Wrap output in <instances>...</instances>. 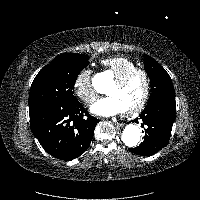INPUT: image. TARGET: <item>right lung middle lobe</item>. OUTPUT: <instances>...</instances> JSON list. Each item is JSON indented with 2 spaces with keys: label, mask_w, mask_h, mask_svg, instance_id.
Instances as JSON below:
<instances>
[{
  "label": "right lung middle lobe",
  "mask_w": 200,
  "mask_h": 200,
  "mask_svg": "<svg viewBox=\"0 0 200 200\" xmlns=\"http://www.w3.org/2000/svg\"><path fill=\"white\" fill-rule=\"evenodd\" d=\"M88 65L84 55L65 53L54 58L43 67L32 82L29 106L41 103L70 104L77 99L73 96L74 84L81 70Z\"/></svg>",
  "instance_id": "right-lung-middle-lobe-1"
}]
</instances>
